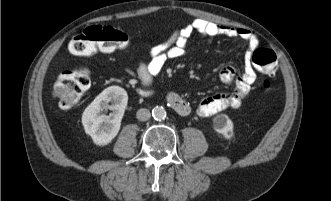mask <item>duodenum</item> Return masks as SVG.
Listing matches in <instances>:
<instances>
[{"label": "duodenum", "instance_id": "duodenum-1", "mask_svg": "<svg viewBox=\"0 0 331 201\" xmlns=\"http://www.w3.org/2000/svg\"><path fill=\"white\" fill-rule=\"evenodd\" d=\"M137 92H138V94H140V95H146V92H144L143 90H138Z\"/></svg>", "mask_w": 331, "mask_h": 201}]
</instances>
